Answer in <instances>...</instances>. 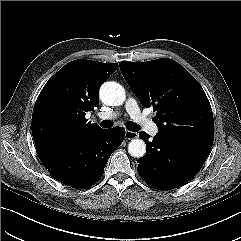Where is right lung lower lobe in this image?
Returning a JSON list of instances; mask_svg holds the SVG:
<instances>
[{
  "instance_id": "98d812e1",
  "label": "right lung lower lobe",
  "mask_w": 241,
  "mask_h": 241,
  "mask_svg": "<svg viewBox=\"0 0 241 241\" xmlns=\"http://www.w3.org/2000/svg\"><path fill=\"white\" fill-rule=\"evenodd\" d=\"M124 135L125 129L120 127L102 129L89 139L39 158L58 181L87 188L101 178L110 155L121 145Z\"/></svg>"
}]
</instances>
